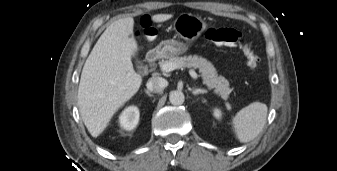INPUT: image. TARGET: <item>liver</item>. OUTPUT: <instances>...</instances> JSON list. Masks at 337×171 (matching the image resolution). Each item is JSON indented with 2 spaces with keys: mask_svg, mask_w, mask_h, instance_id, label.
I'll return each mask as SVG.
<instances>
[{
  "mask_svg": "<svg viewBox=\"0 0 337 171\" xmlns=\"http://www.w3.org/2000/svg\"><path fill=\"white\" fill-rule=\"evenodd\" d=\"M172 14H156L160 23ZM134 19L126 17L106 28L89 54L80 78L78 106L81 118L93 137L108 126L115 112L130 100L142 84L131 58L138 51L133 37Z\"/></svg>",
  "mask_w": 337,
  "mask_h": 171,
  "instance_id": "liver-1",
  "label": "liver"
}]
</instances>
